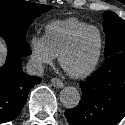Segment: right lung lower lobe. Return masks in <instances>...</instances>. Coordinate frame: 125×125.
I'll return each instance as SVG.
<instances>
[{
    "instance_id": "obj_1",
    "label": "right lung lower lobe",
    "mask_w": 125,
    "mask_h": 125,
    "mask_svg": "<svg viewBox=\"0 0 125 125\" xmlns=\"http://www.w3.org/2000/svg\"><path fill=\"white\" fill-rule=\"evenodd\" d=\"M8 45V56L0 68V123L15 119L26 103L30 89L42 79L25 74L21 57L31 54L26 38L0 33Z\"/></svg>"
}]
</instances>
